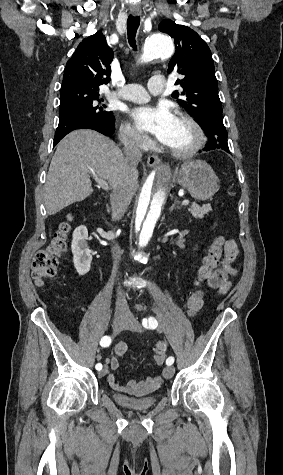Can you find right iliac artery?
<instances>
[{
    "instance_id": "right-iliac-artery-1",
    "label": "right iliac artery",
    "mask_w": 283,
    "mask_h": 475,
    "mask_svg": "<svg viewBox=\"0 0 283 475\" xmlns=\"http://www.w3.org/2000/svg\"><path fill=\"white\" fill-rule=\"evenodd\" d=\"M111 341H112V340H111V337H109V336H104V337L101 339V341H100V345H101L102 347H108V346L111 344ZM95 368H96V370H98V371L101 370V369H102V364H101V363L96 364Z\"/></svg>"
}]
</instances>
